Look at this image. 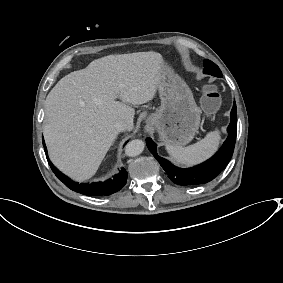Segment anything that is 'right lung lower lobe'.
<instances>
[{
    "instance_id": "1",
    "label": "right lung lower lobe",
    "mask_w": 283,
    "mask_h": 283,
    "mask_svg": "<svg viewBox=\"0 0 283 283\" xmlns=\"http://www.w3.org/2000/svg\"><path fill=\"white\" fill-rule=\"evenodd\" d=\"M43 146L45 149L46 157L48 160V163L52 169V171L55 173L57 178L61 180L68 188L71 190L88 195V196H108L110 194H113L117 191H119L127 182V172L125 169H122L119 174H117L113 179H109L104 182H97V183H81L78 184L76 182H73L71 179L66 177L64 174H62L56 167L53 166V164L50 162L48 156H47V149L43 140Z\"/></svg>"
}]
</instances>
